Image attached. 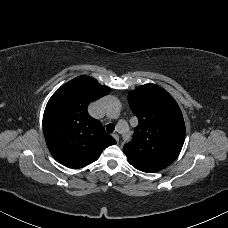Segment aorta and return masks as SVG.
I'll use <instances>...</instances> for the list:
<instances>
[{"label": "aorta", "mask_w": 228, "mask_h": 228, "mask_svg": "<svg viewBox=\"0 0 228 228\" xmlns=\"http://www.w3.org/2000/svg\"><path fill=\"white\" fill-rule=\"evenodd\" d=\"M108 111L109 112H116V111H118L117 105H115V104L110 105ZM120 125L123 126L125 128V130H127V126H126L125 123H120Z\"/></svg>", "instance_id": "1"}]
</instances>
